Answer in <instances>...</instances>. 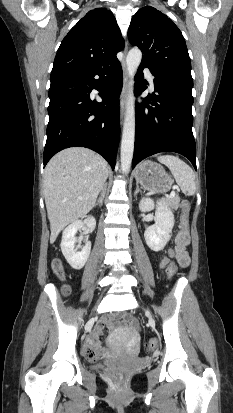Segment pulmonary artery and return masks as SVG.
<instances>
[{
    "label": "pulmonary artery",
    "instance_id": "pulmonary-artery-1",
    "mask_svg": "<svg viewBox=\"0 0 233 413\" xmlns=\"http://www.w3.org/2000/svg\"><path fill=\"white\" fill-rule=\"evenodd\" d=\"M145 75L150 83V86L153 88L154 87V76L149 70H145Z\"/></svg>",
    "mask_w": 233,
    "mask_h": 413
}]
</instances>
